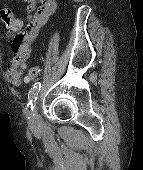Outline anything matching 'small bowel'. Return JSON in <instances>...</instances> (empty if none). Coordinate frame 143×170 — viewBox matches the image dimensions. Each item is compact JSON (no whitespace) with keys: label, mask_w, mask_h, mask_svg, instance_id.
<instances>
[{"label":"small bowel","mask_w":143,"mask_h":170,"mask_svg":"<svg viewBox=\"0 0 143 170\" xmlns=\"http://www.w3.org/2000/svg\"><path fill=\"white\" fill-rule=\"evenodd\" d=\"M22 1L27 4V12L34 11L31 24H29L23 32H20L24 26L23 20L16 18L9 8H3L1 11V19L8 29V32L11 34L18 32L11 42L13 55L7 60L9 68L5 72L7 81L13 85H20L22 83L31 55V46L41 29L54 14L57 5L56 0ZM36 4H39L37 8H35ZM5 14H9L11 23L15 25L9 24Z\"/></svg>","instance_id":"c3829d8e"}]
</instances>
